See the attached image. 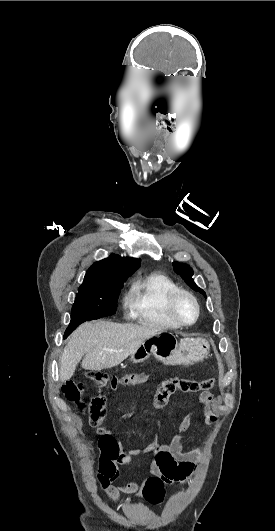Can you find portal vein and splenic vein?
I'll return each instance as SVG.
<instances>
[{"mask_svg": "<svg viewBox=\"0 0 275 531\" xmlns=\"http://www.w3.org/2000/svg\"><path fill=\"white\" fill-rule=\"evenodd\" d=\"M103 351H109V349H103Z\"/></svg>", "mask_w": 275, "mask_h": 531, "instance_id": "portal-vein-and-splenic-vein-1", "label": "portal vein and splenic vein"}]
</instances>
